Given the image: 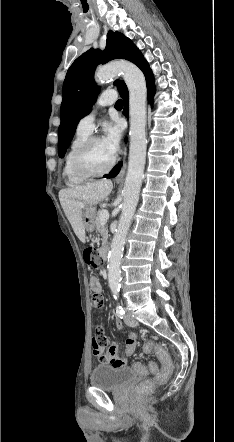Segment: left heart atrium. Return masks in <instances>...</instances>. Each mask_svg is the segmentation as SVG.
Returning a JSON list of instances; mask_svg holds the SVG:
<instances>
[{
    "instance_id": "39dd6f15",
    "label": "left heart atrium",
    "mask_w": 234,
    "mask_h": 442,
    "mask_svg": "<svg viewBox=\"0 0 234 442\" xmlns=\"http://www.w3.org/2000/svg\"><path fill=\"white\" fill-rule=\"evenodd\" d=\"M121 137V128L117 123H108L104 128V136L102 137V142L106 149L113 156L117 153L119 149Z\"/></svg>"
}]
</instances>
